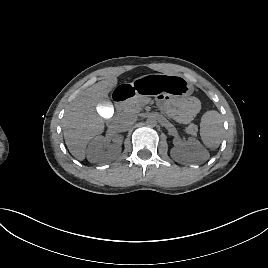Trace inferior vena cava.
I'll list each match as a JSON object with an SVG mask.
<instances>
[{
	"instance_id": "1",
	"label": "inferior vena cava",
	"mask_w": 268,
	"mask_h": 268,
	"mask_svg": "<svg viewBox=\"0 0 268 268\" xmlns=\"http://www.w3.org/2000/svg\"><path fill=\"white\" fill-rule=\"evenodd\" d=\"M136 120H137L136 114L128 113L120 119V125L123 128H127V127L133 125L136 122Z\"/></svg>"
}]
</instances>
